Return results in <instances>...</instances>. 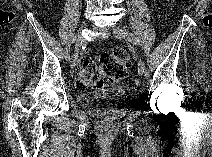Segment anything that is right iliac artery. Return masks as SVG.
<instances>
[{"label":"right iliac artery","instance_id":"82829eb1","mask_svg":"<svg viewBox=\"0 0 212 157\" xmlns=\"http://www.w3.org/2000/svg\"><path fill=\"white\" fill-rule=\"evenodd\" d=\"M75 42V36H71L68 41V45L65 49V58L66 60H70V48L71 45Z\"/></svg>","mask_w":212,"mask_h":157}]
</instances>
